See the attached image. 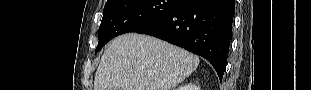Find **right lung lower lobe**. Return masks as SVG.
Wrapping results in <instances>:
<instances>
[{
  "mask_svg": "<svg viewBox=\"0 0 311 90\" xmlns=\"http://www.w3.org/2000/svg\"><path fill=\"white\" fill-rule=\"evenodd\" d=\"M235 0H181L137 33L151 35L206 58L222 80L232 33Z\"/></svg>",
  "mask_w": 311,
  "mask_h": 90,
  "instance_id": "98d812e1",
  "label": "right lung lower lobe"
}]
</instances>
